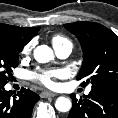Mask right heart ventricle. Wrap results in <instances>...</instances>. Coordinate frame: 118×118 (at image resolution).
I'll use <instances>...</instances> for the list:
<instances>
[{"mask_svg": "<svg viewBox=\"0 0 118 118\" xmlns=\"http://www.w3.org/2000/svg\"><path fill=\"white\" fill-rule=\"evenodd\" d=\"M52 43H53L54 47H60V46H63L65 44L69 43V40L61 35H55L52 37Z\"/></svg>", "mask_w": 118, "mask_h": 118, "instance_id": "right-heart-ventricle-1", "label": "right heart ventricle"}]
</instances>
